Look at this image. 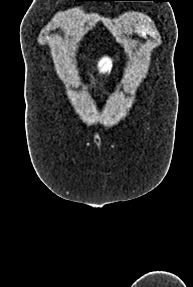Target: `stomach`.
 <instances>
[{
    "mask_svg": "<svg viewBox=\"0 0 193 287\" xmlns=\"http://www.w3.org/2000/svg\"><path fill=\"white\" fill-rule=\"evenodd\" d=\"M112 66L113 60L107 56H103L97 61V68L102 74L109 73L112 69Z\"/></svg>",
    "mask_w": 193,
    "mask_h": 287,
    "instance_id": "1",
    "label": "stomach"
}]
</instances>
